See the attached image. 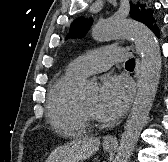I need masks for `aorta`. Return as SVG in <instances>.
<instances>
[{
    "instance_id": "1",
    "label": "aorta",
    "mask_w": 168,
    "mask_h": 162,
    "mask_svg": "<svg viewBox=\"0 0 168 162\" xmlns=\"http://www.w3.org/2000/svg\"><path fill=\"white\" fill-rule=\"evenodd\" d=\"M92 37L99 42L132 38L142 57L138 91L113 161L128 162L157 92L162 63L159 43L154 33L144 24L113 17L97 23L92 28ZM91 90L89 84L82 87L83 94Z\"/></svg>"
}]
</instances>
